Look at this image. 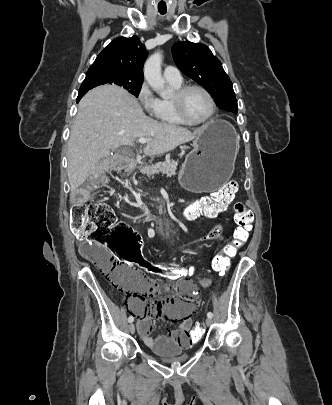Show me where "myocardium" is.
<instances>
[{
	"label": "myocardium",
	"mask_w": 332,
	"mask_h": 405,
	"mask_svg": "<svg viewBox=\"0 0 332 405\" xmlns=\"http://www.w3.org/2000/svg\"><path fill=\"white\" fill-rule=\"evenodd\" d=\"M191 90H199V91L203 92L208 97V99L211 103L210 114L206 118L199 120V121H194V120L189 119L185 112V107H184L185 97H186L187 93ZM171 100H172V104H173L177 117L184 124H187V125H191V126L205 125L214 118V116L217 112V104H216V101H215L213 95L210 93V91H208L205 87H203L201 85H197V84L184 85V86L180 87L179 89L175 90Z\"/></svg>",
	"instance_id": "1"
}]
</instances>
